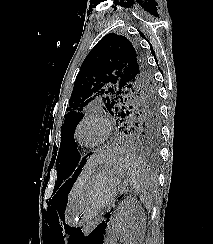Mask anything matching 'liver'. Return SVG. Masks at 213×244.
<instances>
[{
  "instance_id": "1",
  "label": "liver",
  "mask_w": 213,
  "mask_h": 244,
  "mask_svg": "<svg viewBox=\"0 0 213 244\" xmlns=\"http://www.w3.org/2000/svg\"><path fill=\"white\" fill-rule=\"evenodd\" d=\"M109 157V152L106 153H98L94 154L87 162L84 171L80 175L77 183L74 186L73 193L70 195V198L73 194H75L76 190L84 183L85 179L88 175L95 169V167L104 161H106Z\"/></svg>"
}]
</instances>
